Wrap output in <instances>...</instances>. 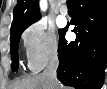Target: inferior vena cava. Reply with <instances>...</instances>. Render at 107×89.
<instances>
[{
	"label": "inferior vena cava",
	"mask_w": 107,
	"mask_h": 89,
	"mask_svg": "<svg viewBox=\"0 0 107 89\" xmlns=\"http://www.w3.org/2000/svg\"><path fill=\"white\" fill-rule=\"evenodd\" d=\"M58 65H59L58 57H53L42 73L43 76L48 79L50 89H57V85H58L57 68H58Z\"/></svg>",
	"instance_id": "602c4592"
}]
</instances>
